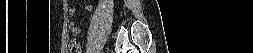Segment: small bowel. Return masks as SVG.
Instances as JSON below:
<instances>
[{
	"label": "small bowel",
	"instance_id": "c3829d8e",
	"mask_svg": "<svg viewBox=\"0 0 253 53\" xmlns=\"http://www.w3.org/2000/svg\"><path fill=\"white\" fill-rule=\"evenodd\" d=\"M86 9L90 10L91 7L87 6ZM74 14V10L73 9H70V15H73ZM69 31L74 35H78L80 33V28L75 25L73 22H70L69 23Z\"/></svg>",
	"mask_w": 253,
	"mask_h": 53
}]
</instances>
